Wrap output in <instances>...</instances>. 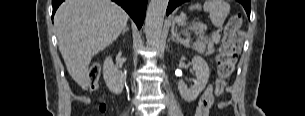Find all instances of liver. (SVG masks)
Segmentation results:
<instances>
[{"mask_svg": "<svg viewBox=\"0 0 305 116\" xmlns=\"http://www.w3.org/2000/svg\"><path fill=\"white\" fill-rule=\"evenodd\" d=\"M128 18L111 0H65L57 9L59 50L70 76L82 89L88 88L92 58L116 40Z\"/></svg>", "mask_w": 305, "mask_h": 116, "instance_id": "liver-1", "label": "liver"}]
</instances>
